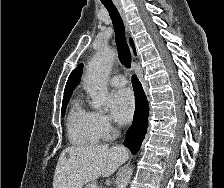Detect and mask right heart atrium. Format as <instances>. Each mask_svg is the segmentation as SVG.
<instances>
[{
  "instance_id": "d8ad5b80",
  "label": "right heart atrium",
  "mask_w": 224,
  "mask_h": 188,
  "mask_svg": "<svg viewBox=\"0 0 224 188\" xmlns=\"http://www.w3.org/2000/svg\"><path fill=\"white\" fill-rule=\"evenodd\" d=\"M92 125L100 138H107L113 132L111 119L100 112H90Z\"/></svg>"
}]
</instances>
